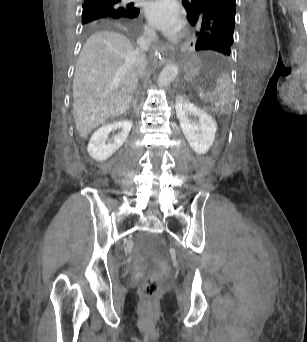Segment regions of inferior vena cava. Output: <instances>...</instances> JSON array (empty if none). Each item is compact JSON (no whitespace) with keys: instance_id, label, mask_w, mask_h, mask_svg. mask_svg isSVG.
Wrapping results in <instances>:
<instances>
[{"instance_id":"602c4592","label":"inferior vena cava","mask_w":307,"mask_h":342,"mask_svg":"<svg viewBox=\"0 0 307 342\" xmlns=\"http://www.w3.org/2000/svg\"><path fill=\"white\" fill-rule=\"evenodd\" d=\"M154 38L155 32H153V30H145L144 36H141V38H138L137 40L139 48H137L136 52H133V54L136 58L137 72L140 76H142L147 66V60L144 52H148L149 46Z\"/></svg>"}]
</instances>
